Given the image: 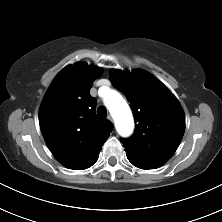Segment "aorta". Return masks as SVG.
Segmentation results:
<instances>
[{
    "mask_svg": "<svg viewBox=\"0 0 222 222\" xmlns=\"http://www.w3.org/2000/svg\"><path fill=\"white\" fill-rule=\"evenodd\" d=\"M104 103L114 119L118 133L121 136L130 135L134 122L131 110L124 98L118 92L110 90L104 97Z\"/></svg>",
    "mask_w": 222,
    "mask_h": 222,
    "instance_id": "obj_1",
    "label": "aorta"
}]
</instances>
